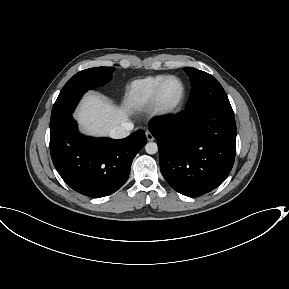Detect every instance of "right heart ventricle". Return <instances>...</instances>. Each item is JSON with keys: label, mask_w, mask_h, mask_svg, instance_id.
Returning <instances> with one entry per match:
<instances>
[{"label": "right heart ventricle", "mask_w": 289, "mask_h": 289, "mask_svg": "<svg viewBox=\"0 0 289 289\" xmlns=\"http://www.w3.org/2000/svg\"><path fill=\"white\" fill-rule=\"evenodd\" d=\"M166 75H153L133 81L125 94V104L132 110L150 106L154 91Z\"/></svg>", "instance_id": "e07e8e85"}]
</instances>
